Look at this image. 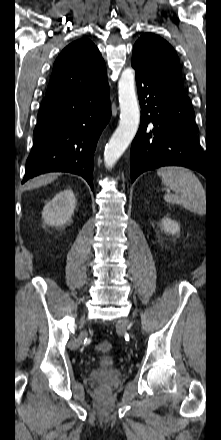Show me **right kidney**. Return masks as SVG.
Wrapping results in <instances>:
<instances>
[{"label":"right kidney","mask_w":221,"mask_h":440,"mask_svg":"<svg viewBox=\"0 0 221 440\" xmlns=\"http://www.w3.org/2000/svg\"><path fill=\"white\" fill-rule=\"evenodd\" d=\"M76 206V199L71 189L59 192L48 202L42 211L45 224L60 226L70 221Z\"/></svg>","instance_id":"1"}]
</instances>
